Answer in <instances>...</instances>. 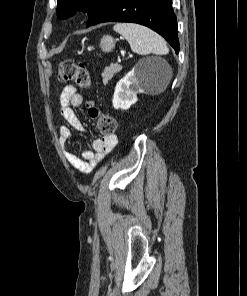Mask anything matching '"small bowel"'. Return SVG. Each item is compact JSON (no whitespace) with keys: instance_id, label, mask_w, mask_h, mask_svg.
I'll use <instances>...</instances> for the list:
<instances>
[{"instance_id":"obj_1","label":"small bowel","mask_w":247,"mask_h":296,"mask_svg":"<svg viewBox=\"0 0 247 296\" xmlns=\"http://www.w3.org/2000/svg\"><path fill=\"white\" fill-rule=\"evenodd\" d=\"M83 104V96L72 86H66L60 95L59 114L67 124L81 132L85 131L83 123L74 111ZM69 126L59 128V142L64 149V154L69 164L78 172L90 173L95 166L109 153L117 144V136L103 137L92 142V149L86 150L81 157L77 156L69 147L71 129Z\"/></svg>"}]
</instances>
